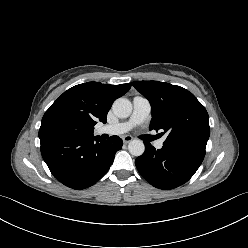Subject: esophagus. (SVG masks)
Returning a JSON list of instances; mask_svg holds the SVG:
<instances>
[{
  "label": "esophagus",
  "mask_w": 248,
  "mask_h": 248,
  "mask_svg": "<svg viewBox=\"0 0 248 248\" xmlns=\"http://www.w3.org/2000/svg\"><path fill=\"white\" fill-rule=\"evenodd\" d=\"M122 140L124 143H129L133 140V137L131 135H125L122 137Z\"/></svg>",
  "instance_id": "esophagus-1"
}]
</instances>
